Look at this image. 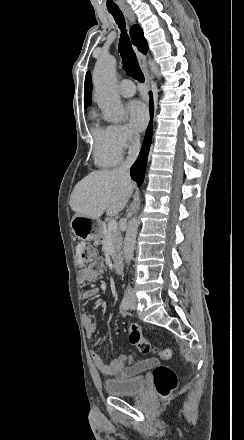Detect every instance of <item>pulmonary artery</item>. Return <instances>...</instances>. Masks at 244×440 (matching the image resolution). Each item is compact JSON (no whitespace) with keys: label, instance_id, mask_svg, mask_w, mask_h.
Wrapping results in <instances>:
<instances>
[{"label":"pulmonary artery","instance_id":"e3ab8cb5","mask_svg":"<svg viewBox=\"0 0 244 440\" xmlns=\"http://www.w3.org/2000/svg\"><path fill=\"white\" fill-rule=\"evenodd\" d=\"M121 91L120 94L124 97H131L135 94V89L132 83L122 82L120 85Z\"/></svg>","mask_w":244,"mask_h":440}]
</instances>
